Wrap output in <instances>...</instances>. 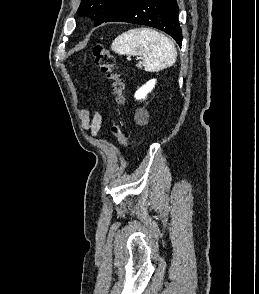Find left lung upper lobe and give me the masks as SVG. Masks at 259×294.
Segmentation results:
<instances>
[{
  "mask_svg": "<svg viewBox=\"0 0 259 294\" xmlns=\"http://www.w3.org/2000/svg\"><path fill=\"white\" fill-rule=\"evenodd\" d=\"M124 0H81L78 15L87 16L94 20V26L104 22L115 6Z\"/></svg>",
  "mask_w": 259,
  "mask_h": 294,
  "instance_id": "obj_1",
  "label": "left lung upper lobe"
}]
</instances>
